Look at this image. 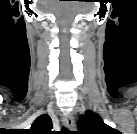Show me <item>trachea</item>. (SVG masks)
<instances>
[{
  "mask_svg": "<svg viewBox=\"0 0 137 134\" xmlns=\"http://www.w3.org/2000/svg\"><path fill=\"white\" fill-rule=\"evenodd\" d=\"M64 132H71V131H68L66 128H63L62 129Z\"/></svg>",
  "mask_w": 137,
  "mask_h": 134,
  "instance_id": "3493384b",
  "label": "trachea"
}]
</instances>
